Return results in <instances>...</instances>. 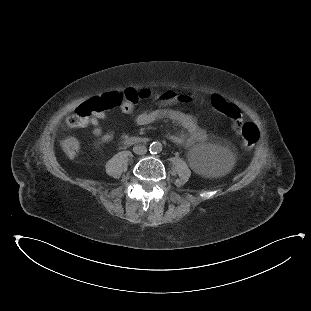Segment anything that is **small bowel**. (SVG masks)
Wrapping results in <instances>:
<instances>
[{"instance_id": "small-bowel-1", "label": "small bowel", "mask_w": 311, "mask_h": 311, "mask_svg": "<svg viewBox=\"0 0 311 311\" xmlns=\"http://www.w3.org/2000/svg\"><path fill=\"white\" fill-rule=\"evenodd\" d=\"M104 118L105 114L103 112L97 113L89 118L88 125L91 127V133L95 138H99L103 143H109L113 138V133H103L100 123ZM163 119L172 120L186 131V134L166 135L168 140L178 146L190 147L196 142L205 141L207 138L206 131L197 124L193 116L175 109L165 108L145 111L136 117V122L139 125H149Z\"/></svg>"}]
</instances>
